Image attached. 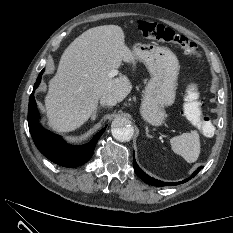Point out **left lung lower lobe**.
I'll return each mask as SVG.
<instances>
[{
	"label": "left lung lower lobe",
	"instance_id": "left-lung-lower-lobe-1",
	"mask_svg": "<svg viewBox=\"0 0 233 233\" xmlns=\"http://www.w3.org/2000/svg\"><path fill=\"white\" fill-rule=\"evenodd\" d=\"M203 167L198 168L192 175L191 177H189L188 179L183 180L182 182H178V183H163V182H159L158 180H155L154 178L149 177L147 174H145L137 165L135 159H134V170L136 172V174L146 183L153 185V186H165V185H178L180 183H184L188 180H190L191 178H193Z\"/></svg>",
	"mask_w": 233,
	"mask_h": 233
}]
</instances>
